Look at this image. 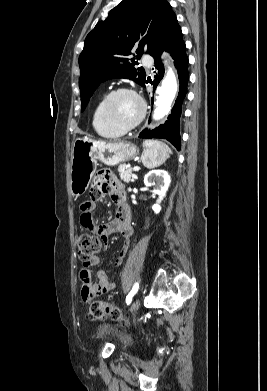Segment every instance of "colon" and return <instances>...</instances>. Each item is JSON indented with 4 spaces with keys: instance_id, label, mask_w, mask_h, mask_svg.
I'll return each mask as SVG.
<instances>
[{
    "instance_id": "1",
    "label": "colon",
    "mask_w": 267,
    "mask_h": 391,
    "mask_svg": "<svg viewBox=\"0 0 267 391\" xmlns=\"http://www.w3.org/2000/svg\"><path fill=\"white\" fill-rule=\"evenodd\" d=\"M78 257L84 266L88 265L93 257L102 248V238L89 233H81L76 238ZM110 317L113 320L123 319V312L120 308L104 301L91 303L87 318L91 321H100Z\"/></svg>"
}]
</instances>
